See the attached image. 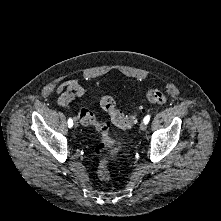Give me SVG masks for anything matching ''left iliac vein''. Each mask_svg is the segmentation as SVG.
Returning a JSON list of instances; mask_svg holds the SVG:
<instances>
[{
    "label": "left iliac vein",
    "mask_w": 221,
    "mask_h": 221,
    "mask_svg": "<svg viewBox=\"0 0 221 221\" xmlns=\"http://www.w3.org/2000/svg\"><path fill=\"white\" fill-rule=\"evenodd\" d=\"M140 129H141L142 131H145V130L147 129V124L144 123V122H142V123L140 124Z\"/></svg>",
    "instance_id": "4c4485c4"
}]
</instances>
